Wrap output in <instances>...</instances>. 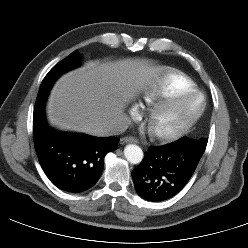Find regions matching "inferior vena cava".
I'll return each instance as SVG.
<instances>
[{"label": "inferior vena cava", "mask_w": 248, "mask_h": 248, "mask_svg": "<svg viewBox=\"0 0 248 248\" xmlns=\"http://www.w3.org/2000/svg\"><path fill=\"white\" fill-rule=\"evenodd\" d=\"M130 120L125 114H121L118 119L106 130L105 136L119 135L130 125Z\"/></svg>", "instance_id": "1"}]
</instances>
